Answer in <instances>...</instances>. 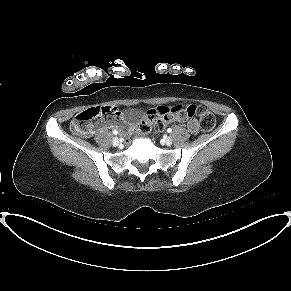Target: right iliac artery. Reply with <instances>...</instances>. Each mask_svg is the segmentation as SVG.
<instances>
[{"label": "right iliac artery", "instance_id": "obj_1", "mask_svg": "<svg viewBox=\"0 0 291 291\" xmlns=\"http://www.w3.org/2000/svg\"><path fill=\"white\" fill-rule=\"evenodd\" d=\"M118 132H117V130H113V134H117Z\"/></svg>", "mask_w": 291, "mask_h": 291}]
</instances>
